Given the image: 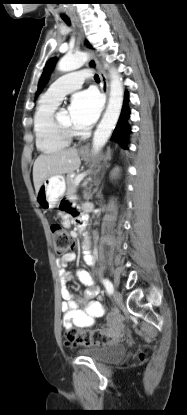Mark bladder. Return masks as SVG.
Masks as SVG:
<instances>
[{
  "label": "bladder",
  "instance_id": "31cf9c89",
  "mask_svg": "<svg viewBox=\"0 0 187 415\" xmlns=\"http://www.w3.org/2000/svg\"><path fill=\"white\" fill-rule=\"evenodd\" d=\"M126 351L124 342H114L98 348H83L78 353L97 362L109 363L121 359Z\"/></svg>",
  "mask_w": 187,
  "mask_h": 415
}]
</instances>
